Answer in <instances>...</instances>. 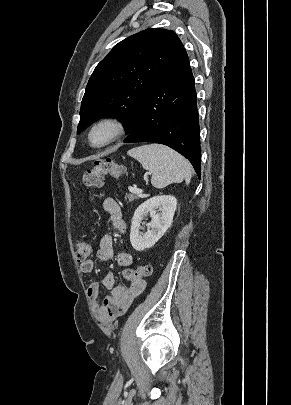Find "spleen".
I'll return each mask as SVG.
<instances>
[{"instance_id":"obj_1","label":"spleen","mask_w":291,"mask_h":405,"mask_svg":"<svg viewBox=\"0 0 291 405\" xmlns=\"http://www.w3.org/2000/svg\"><path fill=\"white\" fill-rule=\"evenodd\" d=\"M128 155L137 159L144 169L152 173L151 183L156 188H164L183 180L187 185L190 183L192 174L189 162L167 146L144 145L129 150Z\"/></svg>"}]
</instances>
